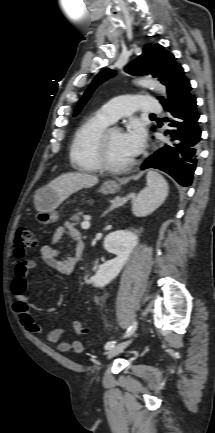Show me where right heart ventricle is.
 <instances>
[{
  "mask_svg": "<svg viewBox=\"0 0 215 433\" xmlns=\"http://www.w3.org/2000/svg\"><path fill=\"white\" fill-rule=\"evenodd\" d=\"M110 124L111 122L98 111L78 127L70 147V160L75 169L85 172H96L101 169L97 161V144Z\"/></svg>",
  "mask_w": 215,
  "mask_h": 433,
  "instance_id": "1",
  "label": "right heart ventricle"
}]
</instances>
